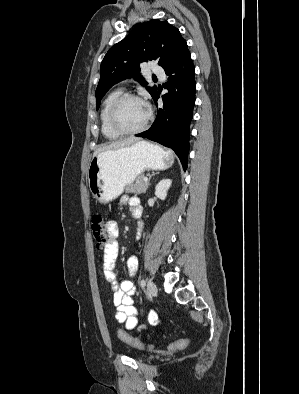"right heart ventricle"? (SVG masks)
<instances>
[{
  "instance_id": "1",
  "label": "right heart ventricle",
  "mask_w": 299,
  "mask_h": 394,
  "mask_svg": "<svg viewBox=\"0 0 299 394\" xmlns=\"http://www.w3.org/2000/svg\"><path fill=\"white\" fill-rule=\"evenodd\" d=\"M121 94L122 91L120 89H115L108 93L102 102L100 110L101 132L106 138L112 140L117 139L120 135L110 127L108 122V112L112 102Z\"/></svg>"
}]
</instances>
